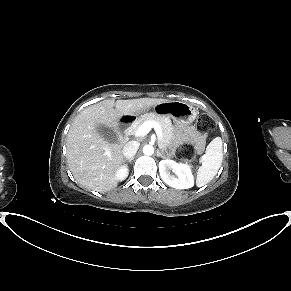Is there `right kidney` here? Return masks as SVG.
I'll return each mask as SVG.
<instances>
[{
	"mask_svg": "<svg viewBox=\"0 0 291 291\" xmlns=\"http://www.w3.org/2000/svg\"><path fill=\"white\" fill-rule=\"evenodd\" d=\"M128 173V168L126 166H121L117 169L115 177L118 181H122L128 176Z\"/></svg>",
	"mask_w": 291,
	"mask_h": 291,
	"instance_id": "ca27d5eb",
	"label": "right kidney"
}]
</instances>
